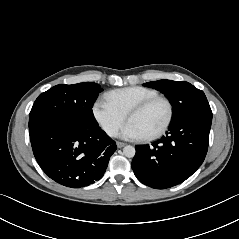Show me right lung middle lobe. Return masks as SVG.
Masks as SVG:
<instances>
[{
  "label": "right lung middle lobe",
  "mask_w": 239,
  "mask_h": 239,
  "mask_svg": "<svg viewBox=\"0 0 239 239\" xmlns=\"http://www.w3.org/2000/svg\"><path fill=\"white\" fill-rule=\"evenodd\" d=\"M102 91L93 82L59 84L38 96L29 114V135L45 127L89 128L98 125L92 107Z\"/></svg>",
  "instance_id": "1"
}]
</instances>
